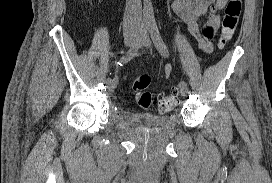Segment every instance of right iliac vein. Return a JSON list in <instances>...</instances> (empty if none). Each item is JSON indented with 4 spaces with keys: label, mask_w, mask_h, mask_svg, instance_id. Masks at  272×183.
I'll return each mask as SVG.
<instances>
[{
    "label": "right iliac vein",
    "mask_w": 272,
    "mask_h": 183,
    "mask_svg": "<svg viewBox=\"0 0 272 183\" xmlns=\"http://www.w3.org/2000/svg\"><path fill=\"white\" fill-rule=\"evenodd\" d=\"M138 40L136 31L134 30H130L125 32L124 34V45L126 47H130L132 45H134ZM106 88L108 89V91H113L116 88L117 85V81H109L106 80Z\"/></svg>",
    "instance_id": "63e3f726"
}]
</instances>
